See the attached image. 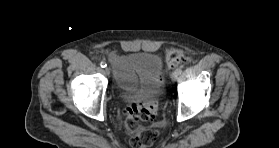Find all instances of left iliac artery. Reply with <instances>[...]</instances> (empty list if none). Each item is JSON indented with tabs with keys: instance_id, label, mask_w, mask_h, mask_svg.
Wrapping results in <instances>:
<instances>
[{
	"instance_id": "left-iliac-artery-1",
	"label": "left iliac artery",
	"mask_w": 279,
	"mask_h": 148,
	"mask_svg": "<svg viewBox=\"0 0 279 148\" xmlns=\"http://www.w3.org/2000/svg\"><path fill=\"white\" fill-rule=\"evenodd\" d=\"M176 71H177L178 75H180L182 73V69H180V68L177 69Z\"/></svg>"
}]
</instances>
